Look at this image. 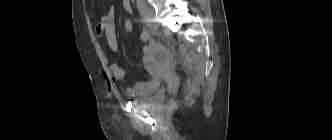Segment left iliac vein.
<instances>
[{
  "label": "left iliac vein",
  "mask_w": 332,
  "mask_h": 140,
  "mask_svg": "<svg viewBox=\"0 0 332 140\" xmlns=\"http://www.w3.org/2000/svg\"><path fill=\"white\" fill-rule=\"evenodd\" d=\"M144 17L145 21L151 29L155 30L158 28V24L155 21V13L151 6H146Z\"/></svg>",
  "instance_id": "1"
}]
</instances>
